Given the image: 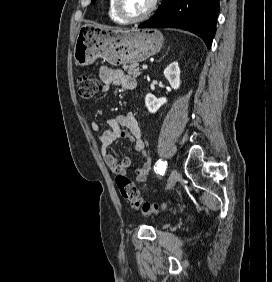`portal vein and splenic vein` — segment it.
Masks as SVG:
<instances>
[{
  "label": "portal vein and splenic vein",
  "instance_id": "18ae733b",
  "mask_svg": "<svg viewBox=\"0 0 272 282\" xmlns=\"http://www.w3.org/2000/svg\"><path fill=\"white\" fill-rule=\"evenodd\" d=\"M143 70H147L148 69V65H143Z\"/></svg>",
  "mask_w": 272,
  "mask_h": 282
}]
</instances>
